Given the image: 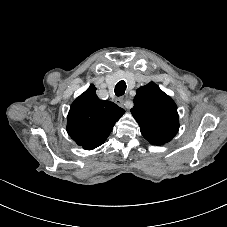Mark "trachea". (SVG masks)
Wrapping results in <instances>:
<instances>
[{"label": "trachea", "mask_w": 227, "mask_h": 227, "mask_svg": "<svg viewBox=\"0 0 227 227\" xmlns=\"http://www.w3.org/2000/svg\"><path fill=\"white\" fill-rule=\"evenodd\" d=\"M125 90H126V83L124 80H121L116 84L114 92L117 97H120L125 93Z\"/></svg>", "instance_id": "trachea-1"}]
</instances>
